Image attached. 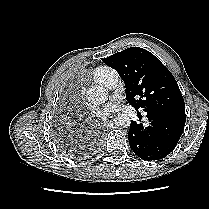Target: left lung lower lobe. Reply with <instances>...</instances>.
<instances>
[{"mask_svg": "<svg viewBox=\"0 0 209 209\" xmlns=\"http://www.w3.org/2000/svg\"><path fill=\"white\" fill-rule=\"evenodd\" d=\"M147 118L148 126L131 121L128 132L130 147L143 160H161L176 147L186 116L172 111H148Z\"/></svg>", "mask_w": 209, "mask_h": 209, "instance_id": "left-lung-lower-lobe-1", "label": "left lung lower lobe"}]
</instances>
